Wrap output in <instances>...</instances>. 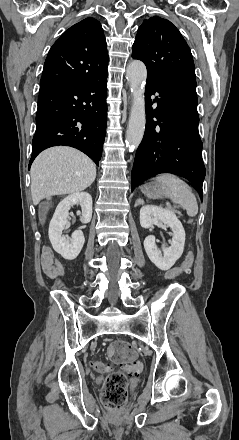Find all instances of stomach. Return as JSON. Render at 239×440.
Listing matches in <instances>:
<instances>
[{
	"mask_svg": "<svg viewBox=\"0 0 239 440\" xmlns=\"http://www.w3.org/2000/svg\"><path fill=\"white\" fill-rule=\"evenodd\" d=\"M141 192L147 198H152V200H158V198H169L168 190L164 184L161 182H149V184H144L141 186Z\"/></svg>",
	"mask_w": 239,
	"mask_h": 440,
	"instance_id": "1",
	"label": "stomach"
}]
</instances>
